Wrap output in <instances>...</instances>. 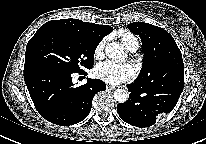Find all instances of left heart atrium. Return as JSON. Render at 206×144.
<instances>
[{
    "instance_id": "1",
    "label": "left heart atrium",
    "mask_w": 206,
    "mask_h": 144,
    "mask_svg": "<svg viewBox=\"0 0 206 144\" xmlns=\"http://www.w3.org/2000/svg\"><path fill=\"white\" fill-rule=\"evenodd\" d=\"M95 75L108 84L117 85L133 79L135 69L131 64L106 61L96 67Z\"/></svg>"
}]
</instances>
